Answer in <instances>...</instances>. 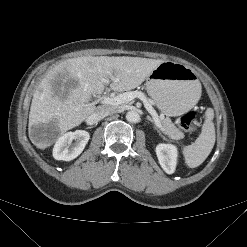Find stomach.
<instances>
[{
    "mask_svg": "<svg viewBox=\"0 0 247 247\" xmlns=\"http://www.w3.org/2000/svg\"><path fill=\"white\" fill-rule=\"evenodd\" d=\"M146 90L168 116H179L196 105L201 84L195 72L177 62L163 61L147 77Z\"/></svg>",
    "mask_w": 247,
    "mask_h": 247,
    "instance_id": "obj_1",
    "label": "stomach"
}]
</instances>
